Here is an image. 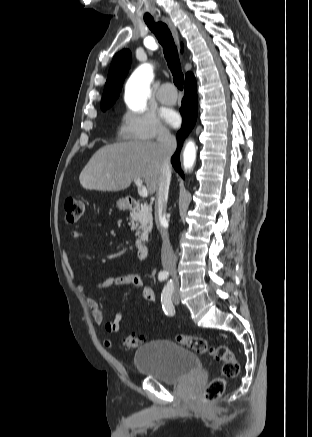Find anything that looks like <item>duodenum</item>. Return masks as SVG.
Listing matches in <instances>:
<instances>
[{
	"label": "duodenum",
	"instance_id": "duodenum-1",
	"mask_svg": "<svg viewBox=\"0 0 312 437\" xmlns=\"http://www.w3.org/2000/svg\"><path fill=\"white\" fill-rule=\"evenodd\" d=\"M125 204L127 208L134 209L139 206L140 202L136 198L128 196L125 198ZM149 251H150V247L147 243L140 242L137 244L136 252H137L138 259L140 260L146 259L149 255Z\"/></svg>",
	"mask_w": 312,
	"mask_h": 437
}]
</instances>
